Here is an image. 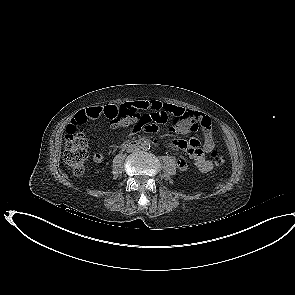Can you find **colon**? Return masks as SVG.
Wrapping results in <instances>:
<instances>
[{
    "mask_svg": "<svg viewBox=\"0 0 295 295\" xmlns=\"http://www.w3.org/2000/svg\"><path fill=\"white\" fill-rule=\"evenodd\" d=\"M137 110L129 105L104 106L103 115L115 126L124 127L132 124ZM166 120L165 113L145 114L132 125L133 132L145 131L154 133L159 124ZM212 161L216 166L224 165L226 158L218 151H213ZM87 158V140L84 132L76 126H68L65 135V150L63 159L73 174L81 175L84 172Z\"/></svg>",
    "mask_w": 295,
    "mask_h": 295,
    "instance_id": "1",
    "label": "colon"
}]
</instances>
